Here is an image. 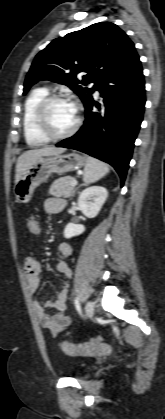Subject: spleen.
Masks as SVG:
<instances>
[{
  "label": "spleen",
  "instance_id": "1",
  "mask_svg": "<svg viewBox=\"0 0 165 419\" xmlns=\"http://www.w3.org/2000/svg\"><path fill=\"white\" fill-rule=\"evenodd\" d=\"M109 171L110 169L107 164L89 157L86 159L83 180L85 184L94 183L108 174Z\"/></svg>",
  "mask_w": 165,
  "mask_h": 419
}]
</instances>
